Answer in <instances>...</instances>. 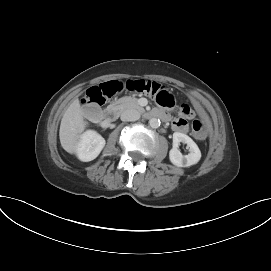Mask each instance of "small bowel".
I'll return each mask as SVG.
<instances>
[{
    "label": "small bowel",
    "instance_id": "small-bowel-1",
    "mask_svg": "<svg viewBox=\"0 0 271 271\" xmlns=\"http://www.w3.org/2000/svg\"><path fill=\"white\" fill-rule=\"evenodd\" d=\"M172 128L180 133H186L188 131V124L184 118H176L172 122Z\"/></svg>",
    "mask_w": 271,
    "mask_h": 271
}]
</instances>
